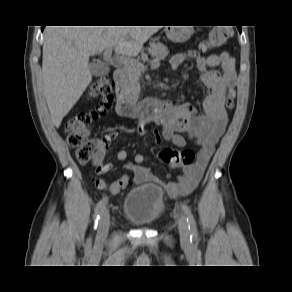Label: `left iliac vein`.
Here are the masks:
<instances>
[{"mask_svg": "<svg viewBox=\"0 0 292 292\" xmlns=\"http://www.w3.org/2000/svg\"><path fill=\"white\" fill-rule=\"evenodd\" d=\"M178 229L180 233V237L184 241H188L190 231L188 229V223L183 215L178 218Z\"/></svg>", "mask_w": 292, "mask_h": 292, "instance_id": "1", "label": "left iliac vein"}]
</instances>
